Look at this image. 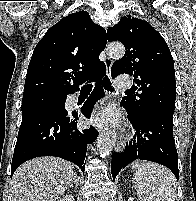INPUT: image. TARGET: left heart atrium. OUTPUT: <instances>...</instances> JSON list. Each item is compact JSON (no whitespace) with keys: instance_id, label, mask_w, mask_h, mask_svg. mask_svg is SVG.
Here are the masks:
<instances>
[{"instance_id":"left-heart-atrium-1","label":"left heart atrium","mask_w":196,"mask_h":201,"mask_svg":"<svg viewBox=\"0 0 196 201\" xmlns=\"http://www.w3.org/2000/svg\"><path fill=\"white\" fill-rule=\"evenodd\" d=\"M93 122L97 125L115 124L117 116L113 110L106 109L97 113L93 118Z\"/></svg>"}]
</instances>
